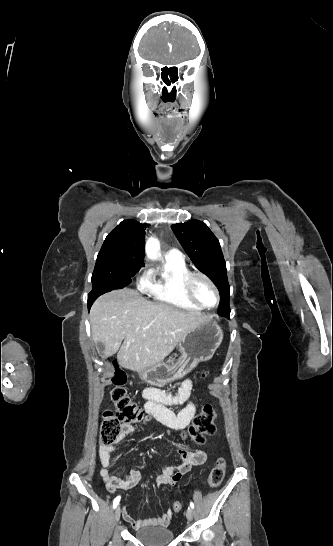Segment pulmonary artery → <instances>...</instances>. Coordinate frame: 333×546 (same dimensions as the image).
Here are the masks:
<instances>
[{
  "mask_svg": "<svg viewBox=\"0 0 333 546\" xmlns=\"http://www.w3.org/2000/svg\"><path fill=\"white\" fill-rule=\"evenodd\" d=\"M166 258L168 259H177V260H180V259H183V255L182 253L176 249V248H172L170 249L167 253H166Z\"/></svg>",
  "mask_w": 333,
  "mask_h": 546,
  "instance_id": "1",
  "label": "pulmonary artery"
}]
</instances>
